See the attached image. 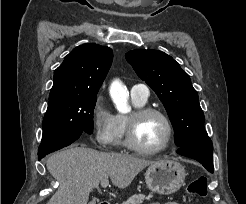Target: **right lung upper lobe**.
Returning a JSON list of instances; mask_svg holds the SVG:
<instances>
[{"label":"right lung upper lobe","mask_w":246,"mask_h":204,"mask_svg":"<svg viewBox=\"0 0 246 204\" xmlns=\"http://www.w3.org/2000/svg\"><path fill=\"white\" fill-rule=\"evenodd\" d=\"M113 59L112 49L88 43L74 48L54 72L49 101L98 93Z\"/></svg>","instance_id":"1"}]
</instances>
